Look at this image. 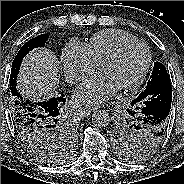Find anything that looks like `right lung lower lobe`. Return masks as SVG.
<instances>
[{"label": "right lung lower lobe", "instance_id": "1", "mask_svg": "<svg viewBox=\"0 0 184 184\" xmlns=\"http://www.w3.org/2000/svg\"><path fill=\"white\" fill-rule=\"evenodd\" d=\"M64 95L51 98L43 102L30 101L20 96L18 91L13 93L12 106L15 109L13 115L15 126L20 135L24 138L39 137L40 130L44 127V123L48 116L57 112H62V106L65 104Z\"/></svg>", "mask_w": 184, "mask_h": 184}]
</instances>
